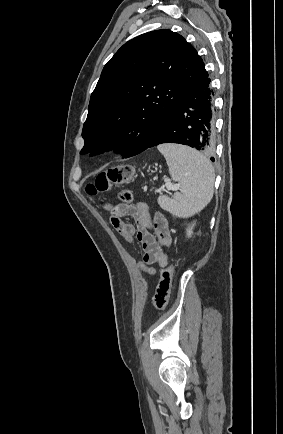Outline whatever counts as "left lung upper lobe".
Masks as SVG:
<instances>
[{
  "label": "left lung upper lobe",
  "mask_w": 283,
  "mask_h": 434,
  "mask_svg": "<svg viewBox=\"0 0 283 434\" xmlns=\"http://www.w3.org/2000/svg\"><path fill=\"white\" fill-rule=\"evenodd\" d=\"M208 75L196 49L171 30L125 43L91 94L80 154L114 149L128 158L147 148L179 98Z\"/></svg>",
  "instance_id": "left-lung-upper-lobe-1"
}]
</instances>
